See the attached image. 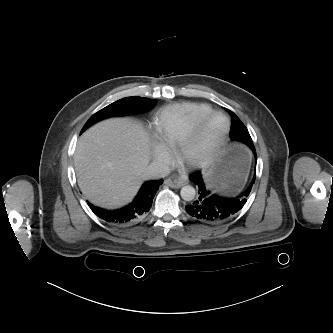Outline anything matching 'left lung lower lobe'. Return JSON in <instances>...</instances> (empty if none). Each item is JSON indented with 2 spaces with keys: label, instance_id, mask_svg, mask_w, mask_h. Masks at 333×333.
<instances>
[{
  "label": "left lung lower lobe",
  "instance_id": "1",
  "mask_svg": "<svg viewBox=\"0 0 333 333\" xmlns=\"http://www.w3.org/2000/svg\"><path fill=\"white\" fill-rule=\"evenodd\" d=\"M253 154L257 160L255 150ZM190 180L197 185L199 197L193 204L186 206V211L199 221L211 223L227 220L244 206L255 181V175L248 189L234 197H224L212 193L199 171L190 175Z\"/></svg>",
  "mask_w": 333,
  "mask_h": 333
}]
</instances>
